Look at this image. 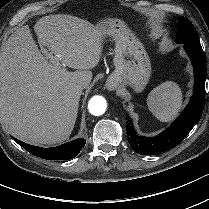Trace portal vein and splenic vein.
I'll list each match as a JSON object with an SVG mask.
<instances>
[{
    "mask_svg": "<svg viewBox=\"0 0 209 209\" xmlns=\"http://www.w3.org/2000/svg\"><path fill=\"white\" fill-rule=\"evenodd\" d=\"M43 53L45 54L46 58L50 60L51 63L56 66H60V63L57 61V56L52 55V53H49L47 50H44Z\"/></svg>",
    "mask_w": 209,
    "mask_h": 209,
    "instance_id": "1",
    "label": "portal vein and splenic vein"
}]
</instances>
